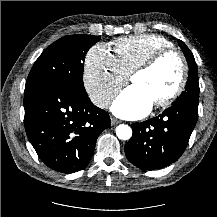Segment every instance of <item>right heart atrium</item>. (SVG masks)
<instances>
[{
  "label": "right heart atrium",
  "mask_w": 217,
  "mask_h": 217,
  "mask_svg": "<svg viewBox=\"0 0 217 217\" xmlns=\"http://www.w3.org/2000/svg\"><path fill=\"white\" fill-rule=\"evenodd\" d=\"M127 80L128 75L105 45L89 49L85 58L84 86L97 107L106 108Z\"/></svg>",
  "instance_id": "1"
}]
</instances>
